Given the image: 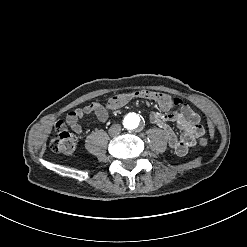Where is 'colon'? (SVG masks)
Segmentation results:
<instances>
[{"instance_id": "colon-1", "label": "colon", "mask_w": 247, "mask_h": 247, "mask_svg": "<svg viewBox=\"0 0 247 247\" xmlns=\"http://www.w3.org/2000/svg\"><path fill=\"white\" fill-rule=\"evenodd\" d=\"M135 96H146L147 101H159L160 109H169L171 102L169 101L168 92H159L157 88H142L141 92H115L113 100L109 101L110 109H122L123 105H127L128 101H134ZM202 148H208L209 141L204 137L199 140ZM77 144L75 136L70 133L69 125L64 122H58L54 128V136L50 140L49 146L52 152L63 155L73 153Z\"/></svg>"}]
</instances>
